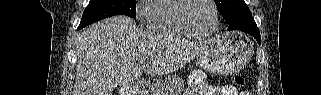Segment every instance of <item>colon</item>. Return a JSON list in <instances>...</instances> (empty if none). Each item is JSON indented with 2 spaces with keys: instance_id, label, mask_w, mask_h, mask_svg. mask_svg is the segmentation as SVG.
Masks as SVG:
<instances>
[{
  "instance_id": "obj_1",
  "label": "colon",
  "mask_w": 321,
  "mask_h": 95,
  "mask_svg": "<svg viewBox=\"0 0 321 95\" xmlns=\"http://www.w3.org/2000/svg\"><path fill=\"white\" fill-rule=\"evenodd\" d=\"M232 81L235 85L243 86L245 84V78L241 74H234L232 76Z\"/></svg>"
}]
</instances>
